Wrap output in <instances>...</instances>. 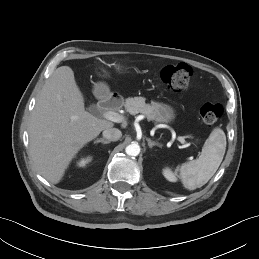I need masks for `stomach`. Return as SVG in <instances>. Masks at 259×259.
Instances as JSON below:
<instances>
[{"label": "stomach", "instance_id": "0dacf381", "mask_svg": "<svg viewBox=\"0 0 259 259\" xmlns=\"http://www.w3.org/2000/svg\"><path fill=\"white\" fill-rule=\"evenodd\" d=\"M115 67L117 71H121L123 69V67L120 65H116ZM98 74L102 77L109 76V73L103 68L100 69ZM95 90L101 96H104L109 92L108 86L104 83H98L95 87ZM155 105H156V109L154 112L155 121L163 122V123H171L175 120L176 111L172 106L168 104H163V103H157V104L155 103Z\"/></svg>", "mask_w": 259, "mask_h": 259}]
</instances>
